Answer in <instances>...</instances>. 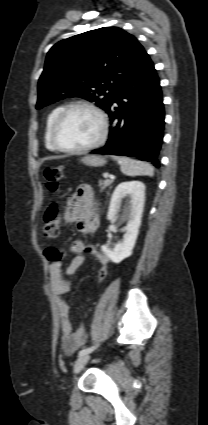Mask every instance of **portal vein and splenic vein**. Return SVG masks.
<instances>
[{
  "label": "portal vein and splenic vein",
  "instance_id": "obj_1",
  "mask_svg": "<svg viewBox=\"0 0 208 425\" xmlns=\"http://www.w3.org/2000/svg\"><path fill=\"white\" fill-rule=\"evenodd\" d=\"M103 177L104 178H109L110 177L111 179H114L115 178L114 176H110L108 173H104L103 174Z\"/></svg>",
  "mask_w": 208,
  "mask_h": 425
}]
</instances>
